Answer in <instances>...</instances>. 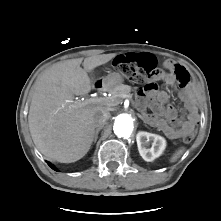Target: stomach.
<instances>
[{
	"label": "stomach",
	"mask_w": 221,
	"mask_h": 221,
	"mask_svg": "<svg viewBox=\"0 0 221 221\" xmlns=\"http://www.w3.org/2000/svg\"><path fill=\"white\" fill-rule=\"evenodd\" d=\"M123 78L119 73H111L103 79V85L110 91L114 90L119 85H122Z\"/></svg>",
	"instance_id": "0dacf381"
}]
</instances>
